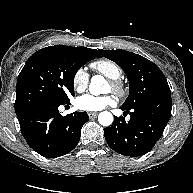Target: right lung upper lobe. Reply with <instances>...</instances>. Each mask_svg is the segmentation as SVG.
<instances>
[{
	"label": "right lung upper lobe",
	"instance_id": "right-lung-upper-lobe-1",
	"mask_svg": "<svg viewBox=\"0 0 193 193\" xmlns=\"http://www.w3.org/2000/svg\"><path fill=\"white\" fill-rule=\"evenodd\" d=\"M41 50L68 51V52H73V53H77L81 55L90 56L93 58L101 56L100 51H97L96 49L86 48V47H70V46H65V45H55V46L43 48Z\"/></svg>",
	"mask_w": 193,
	"mask_h": 193
}]
</instances>
